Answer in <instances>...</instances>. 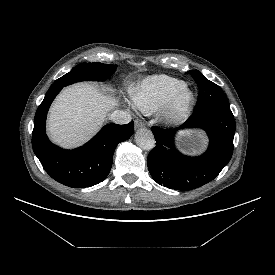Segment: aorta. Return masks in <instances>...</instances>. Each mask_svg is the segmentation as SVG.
<instances>
[{"mask_svg": "<svg viewBox=\"0 0 275 275\" xmlns=\"http://www.w3.org/2000/svg\"><path fill=\"white\" fill-rule=\"evenodd\" d=\"M136 144L143 150H151L155 146L153 133L147 128H141L135 135Z\"/></svg>", "mask_w": 275, "mask_h": 275, "instance_id": "aorta-1", "label": "aorta"}]
</instances>
